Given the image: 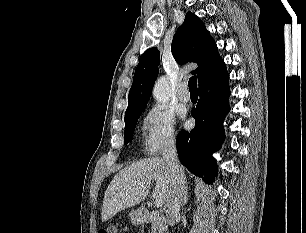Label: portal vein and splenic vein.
I'll return each instance as SVG.
<instances>
[{
  "label": "portal vein and splenic vein",
  "instance_id": "1",
  "mask_svg": "<svg viewBox=\"0 0 306 233\" xmlns=\"http://www.w3.org/2000/svg\"><path fill=\"white\" fill-rule=\"evenodd\" d=\"M154 204L157 208H161L164 205V200L162 198H156Z\"/></svg>",
  "mask_w": 306,
  "mask_h": 233
}]
</instances>
